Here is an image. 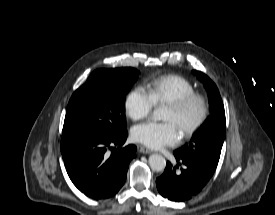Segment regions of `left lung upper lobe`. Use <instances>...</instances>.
Returning a JSON list of instances; mask_svg holds the SVG:
<instances>
[{"instance_id":"5c2ea615","label":"left lung upper lobe","mask_w":275,"mask_h":215,"mask_svg":"<svg viewBox=\"0 0 275 215\" xmlns=\"http://www.w3.org/2000/svg\"><path fill=\"white\" fill-rule=\"evenodd\" d=\"M193 73L207 90L211 115L193 134L190 142L174 153L182 158L195 159L217 167L226 133L224 105L213 81L202 72Z\"/></svg>"}]
</instances>
